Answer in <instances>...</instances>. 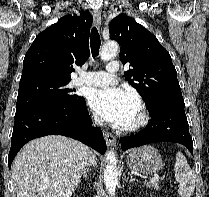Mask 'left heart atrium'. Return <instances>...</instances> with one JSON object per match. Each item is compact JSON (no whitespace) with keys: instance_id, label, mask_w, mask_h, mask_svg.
<instances>
[{"instance_id":"obj_1","label":"left heart atrium","mask_w":209,"mask_h":197,"mask_svg":"<svg viewBox=\"0 0 209 197\" xmlns=\"http://www.w3.org/2000/svg\"><path fill=\"white\" fill-rule=\"evenodd\" d=\"M89 104L103 119L120 128L131 126L138 112L134 95L117 87L95 90Z\"/></svg>"}]
</instances>
